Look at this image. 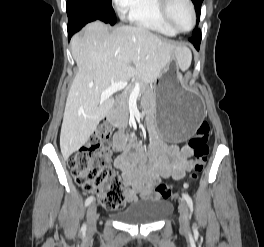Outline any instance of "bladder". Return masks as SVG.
Segmentation results:
<instances>
[{"label": "bladder", "instance_id": "bladder-1", "mask_svg": "<svg viewBox=\"0 0 264 247\" xmlns=\"http://www.w3.org/2000/svg\"><path fill=\"white\" fill-rule=\"evenodd\" d=\"M171 209L172 204L166 198L145 199L134 202L119 212L116 218L122 223L151 224L166 218Z\"/></svg>", "mask_w": 264, "mask_h": 247}]
</instances>
